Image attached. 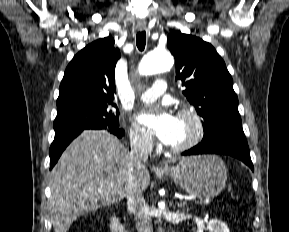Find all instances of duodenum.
<instances>
[{
    "mask_svg": "<svg viewBox=\"0 0 289 232\" xmlns=\"http://www.w3.org/2000/svg\"><path fill=\"white\" fill-rule=\"evenodd\" d=\"M110 228L111 232H127L117 215L110 218Z\"/></svg>",
    "mask_w": 289,
    "mask_h": 232,
    "instance_id": "duodenum-1",
    "label": "duodenum"
}]
</instances>
